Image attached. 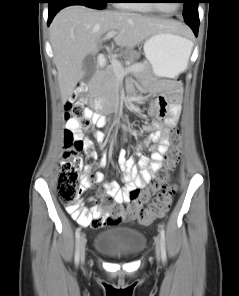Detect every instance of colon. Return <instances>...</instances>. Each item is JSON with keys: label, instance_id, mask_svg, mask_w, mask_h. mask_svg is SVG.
I'll return each instance as SVG.
<instances>
[{"label": "colon", "instance_id": "colon-1", "mask_svg": "<svg viewBox=\"0 0 239 296\" xmlns=\"http://www.w3.org/2000/svg\"><path fill=\"white\" fill-rule=\"evenodd\" d=\"M86 111L80 103L70 101L66 106L65 118L68 122L75 121L79 129H88L90 121L86 116ZM171 144L172 147L166 156L168 171L161 174L148 189L136 191L129 204L121 205L111 196H103L99 193L100 206L104 213L107 214V225L119 223L125 212L129 213L133 220L146 225L156 217L162 216L169 209L176 192V185L171 182L170 172L174 170L178 163L182 145V133L179 129H173ZM83 150L90 160L95 158L92 145H85L83 138L76 136L68 128L64 134L63 155L59 165L57 189L61 201L66 205L73 217L77 220L88 221L90 216L79 207L81 193L79 181L83 168L81 152ZM87 178L92 184L98 183L94 170H88Z\"/></svg>", "mask_w": 239, "mask_h": 296}]
</instances>
